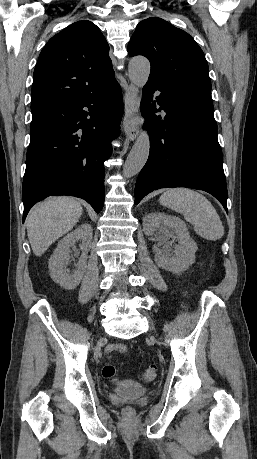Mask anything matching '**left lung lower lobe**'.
<instances>
[{
	"mask_svg": "<svg viewBox=\"0 0 257 459\" xmlns=\"http://www.w3.org/2000/svg\"><path fill=\"white\" fill-rule=\"evenodd\" d=\"M156 90L161 94L152 101ZM140 110L147 118L150 153L136 181L135 204L153 190L188 187L212 194L228 213L222 150L210 89L161 87L147 82ZM161 110L166 112L165 117L154 115Z\"/></svg>",
	"mask_w": 257,
	"mask_h": 459,
	"instance_id": "obj_1",
	"label": "left lung lower lobe"
}]
</instances>
